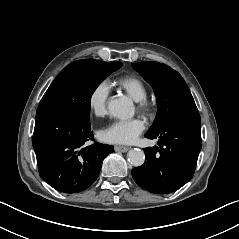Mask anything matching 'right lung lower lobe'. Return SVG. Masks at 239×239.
Here are the masks:
<instances>
[{
    "instance_id": "right-lung-lower-lobe-1",
    "label": "right lung lower lobe",
    "mask_w": 239,
    "mask_h": 239,
    "mask_svg": "<svg viewBox=\"0 0 239 239\" xmlns=\"http://www.w3.org/2000/svg\"><path fill=\"white\" fill-rule=\"evenodd\" d=\"M89 118L71 109H51L36 114L32 144L41 178L54 189L78 193L93 184L112 145L87 141Z\"/></svg>"
}]
</instances>
